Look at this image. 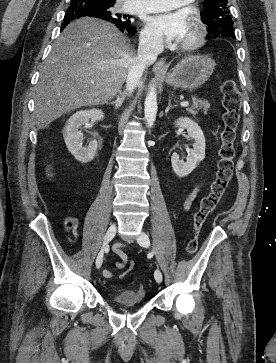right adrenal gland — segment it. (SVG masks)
Instances as JSON below:
<instances>
[{
  "mask_svg": "<svg viewBox=\"0 0 276 363\" xmlns=\"http://www.w3.org/2000/svg\"><path fill=\"white\" fill-rule=\"evenodd\" d=\"M124 99H125L124 92L119 91V95H118L116 101H112L110 103H107V105H114L115 109H119L121 107Z\"/></svg>",
  "mask_w": 276,
  "mask_h": 363,
  "instance_id": "obj_1",
  "label": "right adrenal gland"
}]
</instances>
